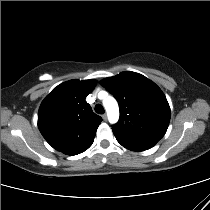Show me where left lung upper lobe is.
<instances>
[{"instance_id":"5c2ea615","label":"left lung upper lobe","mask_w":210,"mask_h":210,"mask_svg":"<svg viewBox=\"0 0 210 210\" xmlns=\"http://www.w3.org/2000/svg\"><path fill=\"white\" fill-rule=\"evenodd\" d=\"M100 84L118 101L120 119L112 126L117 141L132 151L153 147L166 133L170 107L161 89L145 76L122 72Z\"/></svg>"}]
</instances>
